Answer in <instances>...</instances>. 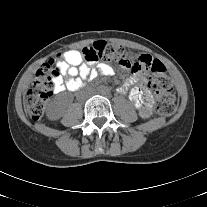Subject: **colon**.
Wrapping results in <instances>:
<instances>
[{
    "mask_svg": "<svg viewBox=\"0 0 207 207\" xmlns=\"http://www.w3.org/2000/svg\"><path fill=\"white\" fill-rule=\"evenodd\" d=\"M83 54L85 60L90 63L103 60L116 63L131 72L149 71L148 86L155 93L157 113L169 116L175 111L173 85L166 73V68L159 60L152 59L150 53L136 55L118 44L98 41L86 47ZM58 76L59 69L55 65L54 59L44 63L37 71L25 99L26 113L32 120H39L43 116Z\"/></svg>",
    "mask_w": 207,
    "mask_h": 207,
    "instance_id": "obj_1",
    "label": "colon"
}]
</instances>
